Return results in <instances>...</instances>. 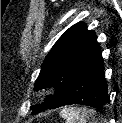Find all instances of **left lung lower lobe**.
I'll return each mask as SVG.
<instances>
[{
	"label": "left lung lower lobe",
	"instance_id": "1",
	"mask_svg": "<svg viewBox=\"0 0 122 123\" xmlns=\"http://www.w3.org/2000/svg\"><path fill=\"white\" fill-rule=\"evenodd\" d=\"M109 101L101 51L73 78L64 94L50 107L81 104L101 109Z\"/></svg>",
	"mask_w": 122,
	"mask_h": 123
}]
</instances>
